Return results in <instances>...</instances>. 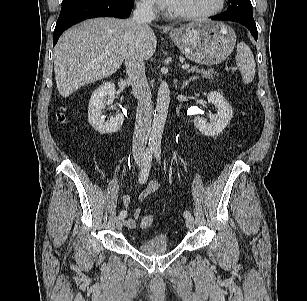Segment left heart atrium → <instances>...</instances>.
Here are the masks:
<instances>
[{"mask_svg": "<svg viewBox=\"0 0 307 301\" xmlns=\"http://www.w3.org/2000/svg\"><path fill=\"white\" fill-rule=\"evenodd\" d=\"M161 8L170 9L175 0H154Z\"/></svg>", "mask_w": 307, "mask_h": 301, "instance_id": "obj_1", "label": "left heart atrium"}]
</instances>
